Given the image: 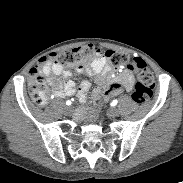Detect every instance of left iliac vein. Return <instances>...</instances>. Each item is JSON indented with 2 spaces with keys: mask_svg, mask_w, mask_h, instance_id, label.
Masks as SVG:
<instances>
[{
  "mask_svg": "<svg viewBox=\"0 0 183 183\" xmlns=\"http://www.w3.org/2000/svg\"><path fill=\"white\" fill-rule=\"evenodd\" d=\"M110 116H113V117H116V116H119L120 114V111L118 108L114 107L112 109L109 110V113H108Z\"/></svg>",
  "mask_w": 183,
  "mask_h": 183,
  "instance_id": "obj_1",
  "label": "left iliac vein"
}]
</instances>
